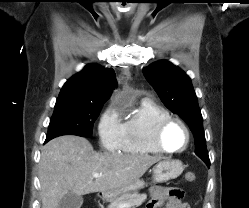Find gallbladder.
<instances>
[{
	"label": "gallbladder",
	"instance_id": "gallbladder-1",
	"mask_svg": "<svg viewBox=\"0 0 249 208\" xmlns=\"http://www.w3.org/2000/svg\"><path fill=\"white\" fill-rule=\"evenodd\" d=\"M82 204L83 197L70 191L60 200L58 208H80Z\"/></svg>",
	"mask_w": 249,
	"mask_h": 208
}]
</instances>
